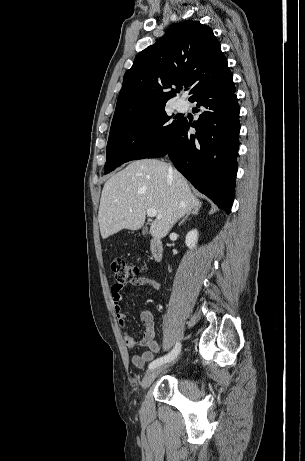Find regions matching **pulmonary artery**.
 <instances>
[{
  "label": "pulmonary artery",
  "mask_w": 305,
  "mask_h": 461,
  "mask_svg": "<svg viewBox=\"0 0 305 461\" xmlns=\"http://www.w3.org/2000/svg\"><path fill=\"white\" fill-rule=\"evenodd\" d=\"M187 107L188 104L184 99H180L175 103V108L180 112L185 111Z\"/></svg>",
  "instance_id": "e3ab8cb5"
}]
</instances>
